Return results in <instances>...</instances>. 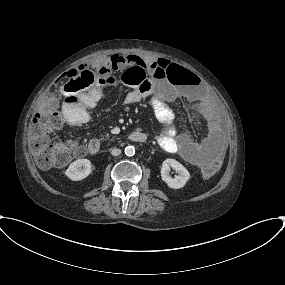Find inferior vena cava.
<instances>
[{
  "mask_svg": "<svg viewBox=\"0 0 285 285\" xmlns=\"http://www.w3.org/2000/svg\"><path fill=\"white\" fill-rule=\"evenodd\" d=\"M111 154L113 156H119L121 154V150L118 149V148H114V149L111 150Z\"/></svg>",
  "mask_w": 285,
  "mask_h": 285,
  "instance_id": "1",
  "label": "inferior vena cava"
}]
</instances>
